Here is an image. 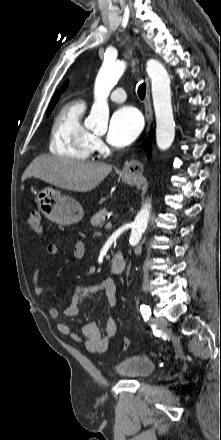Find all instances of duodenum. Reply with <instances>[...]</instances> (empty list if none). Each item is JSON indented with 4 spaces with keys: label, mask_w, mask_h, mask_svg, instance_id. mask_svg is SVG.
Segmentation results:
<instances>
[{
    "label": "duodenum",
    "mask_w": 221,
    "mask_h": 440,
    "mask_svg": "<svg viewBox=\"0 0 221 440\" xmlns=\"http://www.w3.org/2000/svg\"><path fill=\"white\" fill-rule=\"evenodd\" d=\"M126 267L124 255L120 252H115L112 258L111 271L114 274H121Z\"/></svg>",
    "instance_id": "duodenum-1"
}]
</instances>
